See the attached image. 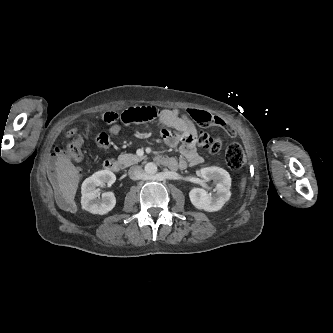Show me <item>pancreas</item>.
<instances>
[{
    "instance_id": "cf45deb5",
    "label": "pancreas",
    "mask_w": 333,
    "mask_h": 333,
    "mask_svg": "<svg viewBox=\"0 0 333 333\" xmlns=\"http://www.w3.org/2000/svg\"><path fill=\"white\" fill-rule=\"evenodd\" d=\"M119 161L122 162L124 164L125 167H129L133 164H136L138 162H140L141 160H143V157H139L135 154H121L118 157Z\"/></svg>"
}]
</instances>
